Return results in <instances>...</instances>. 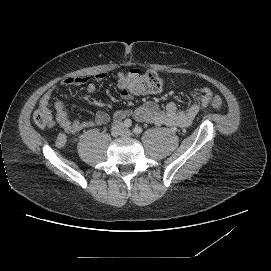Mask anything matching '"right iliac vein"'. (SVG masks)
<instances>
[{"mask_svg": "<svg viewBox=\"0 0 271 271\" xmlns=\"http://www.w3.org/2000/svg\"><path fill=\"white\" fill-rule=\"evenodd\" d=\"M122 133H123V130H122V128L119 125H117L116 127H114L112 129V135L114 137H117V136L121 135Z\"/></svg>", "mask_w": 271, "mask_h": 271, "instance_id": "right-iliac-vein-1", "label": "right iliac vein"}]
</instances>
